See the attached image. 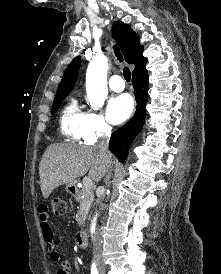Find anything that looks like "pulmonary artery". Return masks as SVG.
Listing matches in <instances>:
<instances>
[{"label": "pulmonary artery", "mask_w": 221, "mask_h": 274, "mask_svg": "<svg viewBox=\"0 0 221 274\" xmlns=\"http://www.w3.org/2000/svg\"><path fill=\"white\" fill-rule=\"evenodd\" d=\"M109 86L115 92H121L125 88V82L120 75H113L109 79Z\"/></svg>", "instance_id": "1"}]
</instances>
